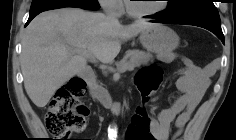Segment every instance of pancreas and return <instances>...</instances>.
Returning a JSON list of instances; mask_svg holds the SVG:
<instances>
[{
  "label": "pancreas",
  "instance_id": "obj_1",
  "mask_svg": "<svg viewBox=\"0 0 236 140\" xmlns=\"http://www.w3.org/2000/svg\"><path fill=\"white\" fill-rule=\"evenodd\" d=\"M152 59V56L140 50H128L124 56L122 63L126 64L128 70L139 67L142 64H147ZM94 88V86L92 87Z\"/></svg>",
  "mask_w": 236,
  "mask_h": 140
}]
</instances>
